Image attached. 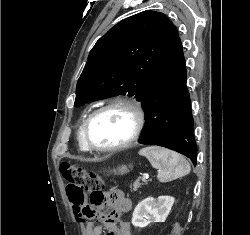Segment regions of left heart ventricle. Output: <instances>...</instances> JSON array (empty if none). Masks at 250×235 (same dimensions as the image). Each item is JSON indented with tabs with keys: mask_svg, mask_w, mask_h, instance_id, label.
<instances>
[{
	"mask_svg": "<svg viewBox=\"0 0 250 235\" xmlns=\"http://www.w3.org/2000/svg\"><path fill=\"white\" fill-rule=\"evenodd\" d=\"M134 126L132 115L125 109L112 108L100 113L90 125L91 143L109 147L125 141Z\"/></svg>",
	"mask_w": 250,
	"mask_h": 235,
	"instance_id": "obj_1",
	"label": "left heart ventricle"
}]
</instances>
